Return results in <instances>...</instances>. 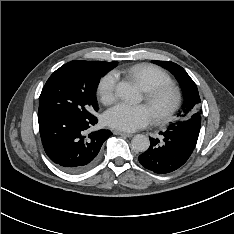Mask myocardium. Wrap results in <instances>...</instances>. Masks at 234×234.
I'll return each instance as SVG.
<instances>
[{
	"instance_id": "1",
	"label": "myocardium",
	"mask_w": 234,
	"mask_h": 234,
	"mask_svg": "<svg viewBox=\"0 0 234 234\" xmlns=\"http://www.w3.org/2000/svg\"><path fill=\"white\" fill-rule=\"evenodd\" d=\"M164 95H169L171 101L165 110L152 113L157 123H166L173 119L181 106V92L173 84H160L145 91L144 99L149 107H154L157 101Z\"/></svg>"
}]
</instances>
